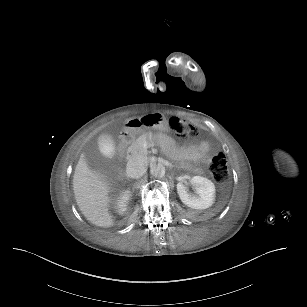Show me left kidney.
I'll use <instances>...</instances> for the list:
<instances>
[{
  "label": "left kidney",
  "mask_w": 307,
  "mask_h": 307,
  "mask_svg": "<svg viewBox=\"0 0 307 307\" xmlns=\"http://www.w3.org/2000/svg\"><path fill=\"white\" fill-rule=\"evenodd\" d=\"M190 183L194 186L195 194L188 192L183 183H177V193L180 200L192 209L202 210L211 207L215 201L214 183L202 176L192 177Z\"/></svg>",
  "instance_id": "obj_1"
}]
</instances>
